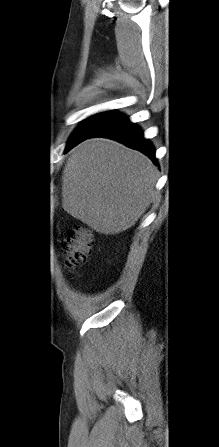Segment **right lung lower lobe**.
<instances>
[{
  "label": "right lung lower lobe",
  "instance_id": "obj_1",
  "mask_svg": "<svg viewBox=\"0 0 219 447\" xmlns=\"http://www.w3.org/2000/svg\"><path fill=\"white\" fill-rule=\"evenodd\" d=\"M90 137H107L119 141L130 148L141 151L142 153L147 155L155 164H157L155 158V150L152 144L147 139L144 138L141 129L134 123L130 122V120L127 117H121L115 120L114 122L107 125L106 127L99 130ZM81 141L71 146H68L66 150L68 151Z\"/></svg>",
  "mask_w": 219,
  "mask_h": 447
}]
</instances>
